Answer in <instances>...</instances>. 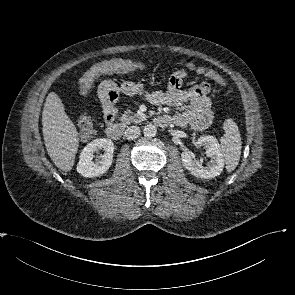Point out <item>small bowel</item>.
Here are the masks:
<instances>
[{
  "mask_svg": "<svg viewBox=\"0 0 295 295\" xmlns=\"http://www.w3.org/2000/svg\"><path fill=\"white\" fill-rule=\"evenodd\" d=\"M124 61L131 65L133 71L142 67V64L139 62L132 60ZM98 91L105 120L109 124L114 121L116 103L120 94L141 96L150 103L167 105L170 107H180L187 103L188 107L184 111L171 117L168 116L170 121L179 127H187L195 131H202L210 124L212 118L210 109L211 101L208 97L210 87L207 84L196 85L189 89H181V87H176L169 82L166 91L158 90L147 92L142 82L126 81L118 85L112 80H105L99 85Z\"/></svg>",
  "mask_w": 295,
  "mask_h": 295,
  "instance_id": "obj_1",
  "label": "small bowel"
}]
</instances>
